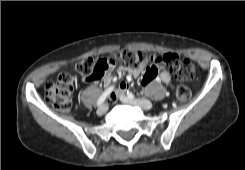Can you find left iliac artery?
Masks as SVG:
<instances>
[{
    "instance_id": "44dca946",
    "label": "left iliac artery",
    "mask_w": 245,
    "mask_h": 170,
    "mask_svg": "<svg viewBox=\"0 0 245 170\" xmlns=\"http://www.w3.org/2000/svg\"><path fill=\"white\" fill-rule=\"evenodd\" d=\"M127 96L129 97V98H134V94L133 93H131V92H128L127 91ZM144 101H147V100H145V99H143Z\"/></svg>"
}]
</instances>
